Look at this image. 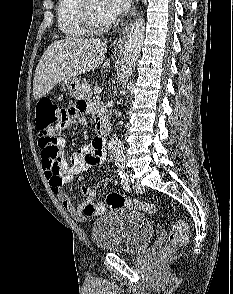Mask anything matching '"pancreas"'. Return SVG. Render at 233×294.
Instances as JSON below:
<instances>
[{
	"instance_id": "1",
	"label": "pancreas",
	"mask_w": 233,
	"mask_h": 294,
	"mask_svg": "<svg viewBox=\"0 0 233 294\" xmlns=\"http://www.w3.org/2000/svg\"><path fill=\"white\" fill-rule=\"evenodd\" d=\"M92 96V89L87 81H84L81 86L80 98L88 99Z\"/></svg>"
}]
</instances>
